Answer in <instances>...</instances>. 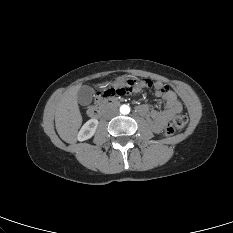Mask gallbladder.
Instances as JSON below:
<instances>
[{
    "mask_svg": "<svg viewBox=\"0 0 233 233\" xmlns=\"http://www.w3.org/2000/svg\"><path fill=\"white\" fill-rule=\"evenodd\" d=\"M92 98L93 92L89 86L84 85L80 87L77 93V100L79 104L83 106L89 105L92 102Z\"/></svg>",
    "mask_w": 233,
    "mask_h": 233,
    "instance_id": "gallbladder-1",
    "label": "gallbladder"
}]
</instances>
